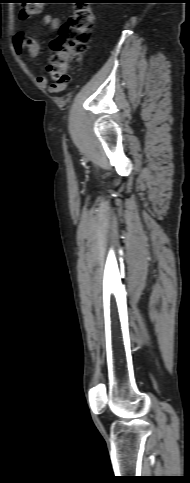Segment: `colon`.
Segmentation results:
<instances>
[{"label":"colon","mask_w":190,"mask_h":483,"mask_svg":"<svg viewBox=\"0 0 190 483\" xmlns=\"http://www.w3.org/2000/svg\"><path fill=\"white\" fill-rule=\"evenodd\" d=\"M21 3L20 16L23 19H30L39 13L42 2L22 0ZM94 20L91 7L77 5L61 26L57 37L52 40L51 47L55 54L47 64V71L58 88L62 89L70 82L69 64L79 61L88 50Z\"/></svg>","instance_id":"5ec220e1"}]
</instances>
